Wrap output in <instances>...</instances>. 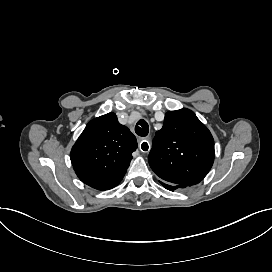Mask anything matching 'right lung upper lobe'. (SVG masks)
Masks as SVG:
<instances>
[{"mask_svg":"<svg viewBox=\"0 0 272 272\" xmlns=\"http://www.w3.org/2000/svg\"><path fill=\"white\" fill-rule=\"evenodd\" d=\"M137 147L136 137L114 113H108L86 125L70 158L82 182L97 190H108L120 183Z\"/></svg>","mask_w":272,"mask_h":272,"instance_id":"cb5924a9","label":"right lung upper lobe"}]
</instances>
